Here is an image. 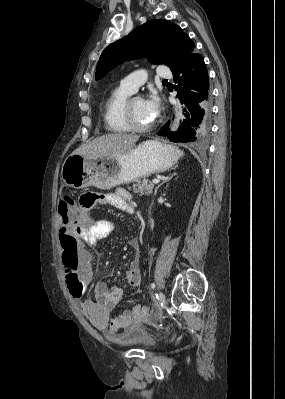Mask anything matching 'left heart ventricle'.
I'll list each match as a JSON object with an SVG mask.
<instances>
[{
    "instance_id": "left-heart-ventricle-1",
    "label": "left heart ventricle",
    "mask_w": 285,
    "mask_h": 399,
    "mask_svg": "<svg viewBox=\"0 0 285 399\" xmlns=\"http://www.w3.org/2000/svg\"><path fill=\"white\" fill-rule=\"evenodd\" d=\"M131 108L136 124L144 126L150 124L153 121L147 115L143 101L141 99H134Z\"/></svg>"
}]
</instances>
